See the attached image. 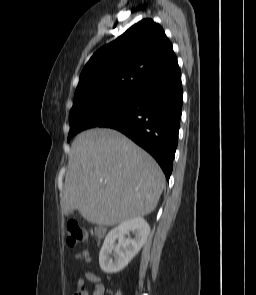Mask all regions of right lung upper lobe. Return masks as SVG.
Returning <instances> with one entry per match:
<instances>
[{
    "instance_id": "1",
    "label": "right lung upper lobe",
    "mask_w": 256,
    "mask_h": 295,
    "mask_svg": "<svg viewBox=\"0 0 256 295\" xmlns=\"http://www.w3.org/2000/svg\"><path fill=\"white\" fill-rule=\"evenodd\" d=\"M175 57L163 28L143 19L100 48L81 72L74 100L115 97L137 89Z\"/></svg>"
}]
</instances>
